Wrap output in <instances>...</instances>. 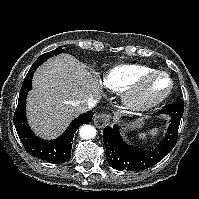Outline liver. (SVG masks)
Listing matches in <instances>:
<instances>
[{
    "label": "liver",
    "mask_w": 199,
    "mask_h": 199,
    "mask_svg": "<svg viewBox=\"0 0 199 199\" xmlns=\"http://www.w3.org/2000/svg\"><path fill=\"white\" fill-rule=\"evenodd\" d=\"M27 98V117L34 133L44 139L58 137L78 115L82 101L98 102L102 97L95 74L69 54L45 62L33 77Z\"/></svg>",
    "instance_id": "1"
}]
</instances>
